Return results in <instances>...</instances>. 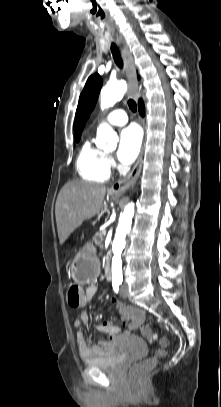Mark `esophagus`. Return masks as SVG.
I'll list each match as a JSON object with an SVG mask.
<instances>
[{
  "label": "esophagus",
  "instance_id": "obj_1",
  "mask_svg": "<svg viewBox=\"0 0 221 407\" xmlns=\"http://www.w3.org/2000/svg\"><path fill=\"white\" fill-rule=\"evenodd\" d=\"M116 41L121 48L122 57L125 63V73L129 84V95L134 100H137L140 94V90L138 88V80L133 65L131 52L129 51L121 36H116ZM142 158L143 148L141 149L138 160L133 166L132 170L124 178L112 185L110 189L112 193L123 194L124 192H126V190H128L135 184L141 172Z\"/></svg>",
  "mask_w": 221,
  "mask_h": 407
}]
</instances>
